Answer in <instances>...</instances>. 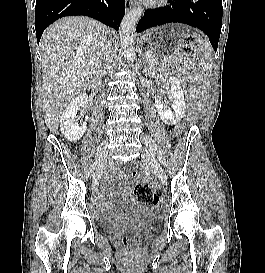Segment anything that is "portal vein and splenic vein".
<instances>
[{
  "label": "portal vein and splenic vein",
  "mask_w": 265,
  "mask_h": 273,
  "mask_svg": "<svg viewBox=\"0 0 265 273\" xmlns=\"http://www.w3.org/2000/svg\"><path fill=\"white\" fill-rule=\"evenodd\" d=\"M146 57H147V58H150L151 56H150L149 54H146Z\"/></svg>",
  "instance_id": "portal-vein-and-splenic-vein-1"
}]
</instances>
